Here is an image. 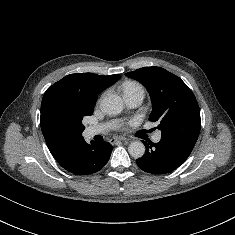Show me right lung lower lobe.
Returning a JSON list of instances; mask_svg holds the SVG:
<instances>
[{
    "label": "right lung lower lobe",
    "instance_id": "98d812e1",
    "mask_svg": "<svg viewBox=\"0 0 235 235\" xmlns=\"http://www.w3.org/2000/svg\"><path fill=\"white\" fill-rule=\"evenodd\" d=\"M112 149V145L108 142L92 141L91 144H88L81 137L55 159L69 172L87 175L104 167L110 158Z\"/></svg>",
    "mask_w": 235,
    "mask_h": 235
}]
</instances>
